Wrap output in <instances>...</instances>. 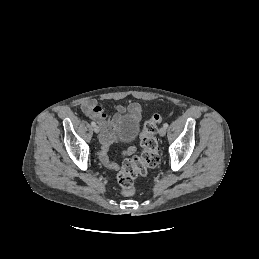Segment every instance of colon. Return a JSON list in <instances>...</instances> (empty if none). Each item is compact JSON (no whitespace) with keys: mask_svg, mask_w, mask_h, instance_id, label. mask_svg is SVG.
Wrapping results in <instances>:
<instances>
[{"mask_svg":"<svg viewBox=\"0 0 259 259\" xmlns=\"http://www.w3.org/2000/svg\"><path fill=\"white\" fill-rule=\"evenodd\" d=\"M162 121V116L158 113L153 114L145 123L140 135L142 153L126 159L117 174V181L123 196L130 197L135 193L134 182L138 176H143L149 168L157 166L160 162L158 142L155 134L158 125Z\"/></svg>","mask_w":259,"mask_h":259,"instance_id":"5ec220e1","label":"colon"}]
</instances>
